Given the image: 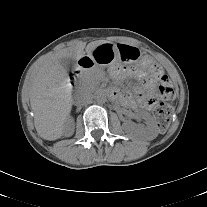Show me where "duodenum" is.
I'll use <instances>...</instances> for the list:
<instances>
[{
	"label": "duodenum",
	"instance_id": "410a0bca",
	"mask_svg": "<svg viewBox=\"0 0 207 207\" xmlns=\"http://www.w3.org/2000/svg\"><path fill=\"white\" fill-rule=\"evenodd\" d=\"M92 66H93V62L90 59H85V60L81 61L80 64L78 65V67L74 71L71 72V74L69 76L70 81L72 83H76V81H77L78 77L80 76V74L84 70H86V69H88ZM107 93L110 94V95H114L112 92H109V91Z\"/></svg>",
	"mask_w": 207,
	"mask_h": 207
}]
</instances>
